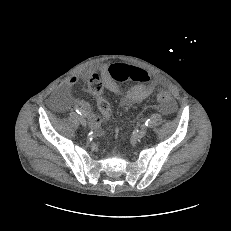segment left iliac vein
I'll return each mask as SVG.
<instances>
[{
	"mask_svg": "<svg viewBox=\"0 0 231 231\" xmlns=\"http://www.w3.org/2000/svg\"><path fill=\"white\" fill-rule=\"evenodd\" d=\"M147 133V129L146 128H142L141 130L136 132V136L138 138H143Z\"/></svg>",
	"mask_w": 231,
	"mask_h": 231,
	"instance_id": "left-iliac-vein-1",
	"label": "left iliac vein"
}]
</instances>
